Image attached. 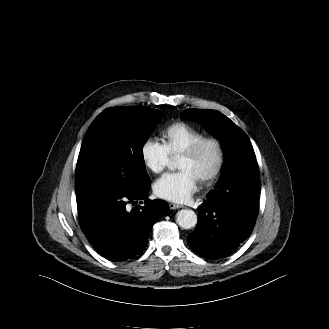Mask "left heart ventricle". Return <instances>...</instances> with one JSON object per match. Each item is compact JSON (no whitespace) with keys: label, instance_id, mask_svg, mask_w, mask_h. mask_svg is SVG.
Instances as JSON below:
<instances>
[{"label":"left heart ventricle","instance_id":"obj_1","mask_svg":"<svg viewBox=\"0 0 329 329\" xmlns=\"http://www.w3.org/2000/svg\"><path fill=\"white\" fill-rule=\"evenodd\" d=\"M216 161V152L213 146H205L197 156L189 158L180 156L178 168L191 171L199 180L202 176L212 170Z\"/></svg>","mask_w":329,"mask_h":329}]
</instances>
